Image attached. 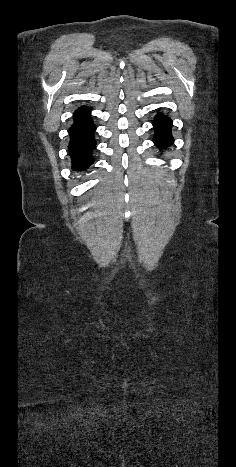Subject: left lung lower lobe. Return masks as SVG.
Listing matches in <instances>:
<instances>
[{
    "label": "left lung lower lobe",
    "mask_w": 236,
    "mask_h": 467,
    "mask_svg": "<svg viewBox=\"0 0 236 467\" xmlns=\"http://www.w3.org/2000/svg\"><path fill=\"white\" fill-rule=\"evenodd\" d=\"M153 126L155 128L154 143L160 148L165 149L173 144L171 135L172 120L162 114H157Z\"/></svg>",
    "instance_id": "1"
}]
</instances>
